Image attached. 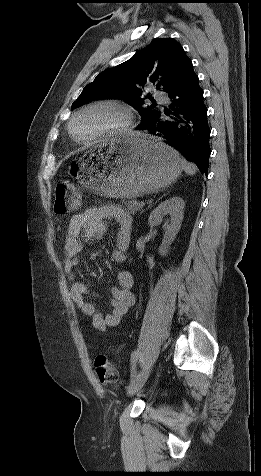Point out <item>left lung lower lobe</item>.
Listing matches in <instances>:
<instances>
[{
  "label": "left lung lower lobe",
  "mask_w": 261,
  "mask_h": 476,
  "mask_svg": "<svg viewBox=\"0 0 261 476\" xmlns=\"http://www.w3.org/2000/svg\"><path fill=\"white\" fill-rule=\"evenodd\" d=\"M168 96L171 99L169 107L139 129L154 131L155 136L162 138L165 144L180 152L186 160L195 163L207 175L211 131L203 91L193 65Z\"/></svg>",
  "instance_id": "left-lung-lower-lobe-1"
}]
</instances>
